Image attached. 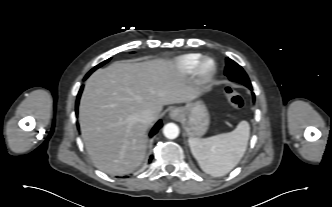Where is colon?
I'll use <instances>...</instances> for the list:
<instances>
[{"label":"colon","instance_id":"colon-1","mask_svg":"<svg viewBox=\"0 0 332 207\" xmlns=\"http://www.w3.org/2000/svg\"><path fill=\"white\" fill-rule=\"evenodd\" d=\"M225 94L228 102L235 110H240L244 105V99L230 84L225 86Z\"/></svg>","mask_w":332,"mask_h":207}]
</instances>
